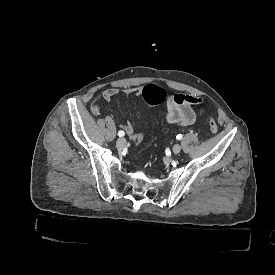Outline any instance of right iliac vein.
<instances>
[{"mask_svg": "<svg viewBox=\"0 0 275 275\" xmlns=\"http://www.w3.org/2000/svg\"><path fill=\"white\" fill-rule=\"evenodd\" d=\"M126 144V140L124 138H119L116 142V146L118 149H122Z\"/></svg>", "mask_w": 275, "mask_h": 275, "instance_id": "obj_1", "label": "right iliac vein"}]
</instances>
